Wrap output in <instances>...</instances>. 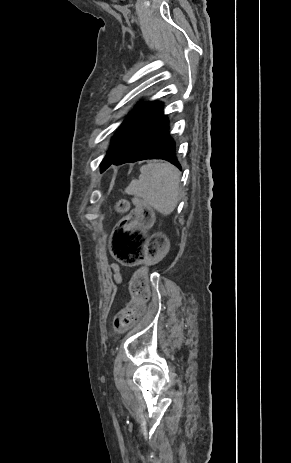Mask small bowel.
Instances as JSON below:
<instances>
[{
  "instance_id": "obj_1",
  "label": "small bowel",
  "mask_w": 291,
  "mask_h": 463,
  "mask_svg": "<svg viewBox=\"0 0 291 463\" xmlns=\"http://www.w3.org/2000/svg\"><path fill=\"white\" fill-rule=\"evenodd\" d=\"M111 269H112L114 281L117 284H120L122 282V275H121V272H120V268L118 267V265L114 264V265H112Z\"/></svg>"
}]
</instances>
